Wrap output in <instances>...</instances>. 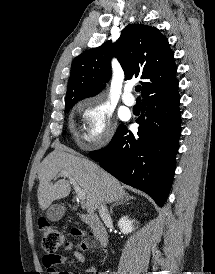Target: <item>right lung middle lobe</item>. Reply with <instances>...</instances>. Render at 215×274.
Here are the masks:
<instances>
[{
    "instance_id": "right-lung-middle-lobe-1",
    "label": "right lung middle lobe",
    "mask_w": 215,
    "mask_h": 274,
    "mask_svg": "<svg viewBox=\"0 0 215 274\" xmlns=\"http://www.w3.org/2000/svg\"><path fill=\"white\" fill-rule=\"evenodd\" d=\"M73 106H74V104H72V105H66L65 106V112H67L68 110H70Z\"/></svg>"
}]
</instances>
